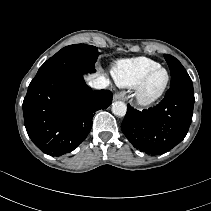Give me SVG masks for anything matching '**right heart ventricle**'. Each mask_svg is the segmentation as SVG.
Wrapping results in <instances>:
<instances>
[{"instance_id":"right-heart-ventricle-1","label":"right heart ventricle","mask_w":211,"mask_h":211,"mask_svg":"<svg viewBox=\"0 0 211 211\" xmlns=\"http://www.w3.org/2000/svg\"><path fill=\"white\" fill-rule=\"evenodd\" d=\"M158 66V62L147 57L121 60L113 67L112 76L119 86L133 88L150 70Z\"/></svg>"}]
</instances>
